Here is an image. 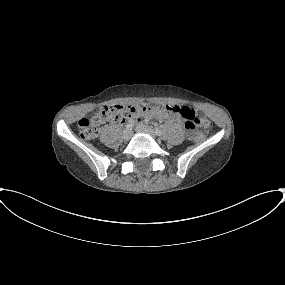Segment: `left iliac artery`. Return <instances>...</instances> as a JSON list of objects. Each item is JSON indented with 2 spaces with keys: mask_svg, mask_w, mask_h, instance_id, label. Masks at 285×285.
I'll return each mask as SVG.
<instances>
[{
  "mask_svg": "<svg viewBox=\"0 0 285 285\" xmlns=\"http://www.w3.org/2000/svg\"><path fill=\"white\" fill-rule=\"evenodd\" d=\"M154 132H155V134L158 135V136H161V135H162V131H161L160 129H158V128H155V129H154Z\"/></svg>",
  "mask_w": 285,
  "mask_h": 285,
  "instance_id": "left-iliac-artery-1",
  "label": "left iliac artery"
}]
</instances>
